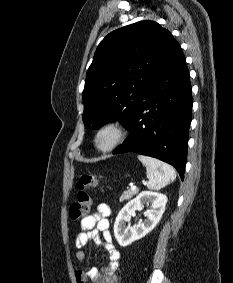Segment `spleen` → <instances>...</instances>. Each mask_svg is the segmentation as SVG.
<instances>
[{
    "instance_id": "1",
    "label": "spleen",
    "mask_w": 233,
    "mask_h": 283,
    "mask_svg": "<svg viewBox=\"0 0 233 283\" xmlns=\"http://www.w3.org/2000/svg\"><path fill=\"white\" fill-rule=\"evenodd\" d=\"M138 159L146 167L148 189L159 190L176 179L175 170L169 164L144 155H139Z\"/></svg>"
}]
</instances>
